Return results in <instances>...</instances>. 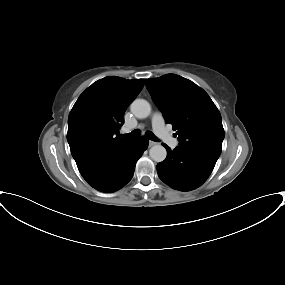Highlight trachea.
Returning a JSON list of instances; mask_svg holds the SVG:
<instances>
[{"instance_id": "1", "label": "trachea", "mask_w": 285, "mask_h": 285, "mask_svg": "<svg viewBox=\"0 0 285 285\" xmlns=\"http://www.w3.org/2000/svg\"><path fill=\"white\" fill-rule=\"evenodd\" d=\"M140 134H141L140 130H134L131 133L124 134L123 136L129 139H134L139 137ZM146 136L152 141H158V138L151 131L146 132Z\"/></svg>"}]
</instances>
